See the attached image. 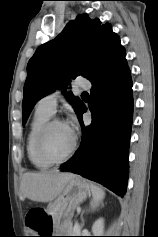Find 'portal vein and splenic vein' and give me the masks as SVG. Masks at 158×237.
Segmentation results:
<instances>
[{
    "label": "portal vein and splenic vein",
    "mask_w": 158,
    "mask_h": 237,
    "mask_svg": "<svg viewBox=\"0 0 158 237\" xmlns=\"http://www.w3.org/2000/svg\"><path fill=\"white\" fill-rule=\"evenodd\" d=\"M75 227H76V228H80L78 223L75 224Z\"/></svg>",
    "instance_id": "1"
}]
</instances>
